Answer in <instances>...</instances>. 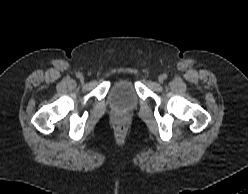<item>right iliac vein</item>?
I'll use <instances>...</instances> for the list:
<instances>
[{
	"label": "right iliac vein",
	"mask_w": 248,
	"mask_h": 194,
	"mask_svg": "<svg viewBox=\"0 0 248 194\" xmlns=\"http://www.w3.org/2000/svg\"><path fill=\"white\" fill-rule=\"evenodd\" d=\"M80 81H84V77L83 76L80 77Z\"/></svg>",
	"instance_id": "63e3f726"
}]
</instances>
